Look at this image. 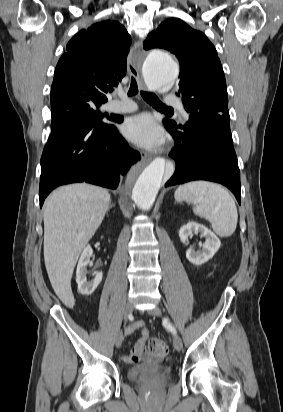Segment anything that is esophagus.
Wrapping results in <instances>:
<instances>
[{
    "instance_id": "esophagus-1",
    "label": "esophagus",
    "mask_w": 283,
    "mask_h": 412,
    "mask_svg": "<svg viewBox=\"0 0 283 412\" xmlns=\"http://www.w3.org/2000/svg\"><path fill=\"white\" fill-rule=\"evenodd\" d=\"M140 47H141V41H136L128 57L127 67H128L129 73L138 80L140 88L146 89V86L141 77L142 60L135 56V53L140 49Z\"/></svg>"
}]
</instances>
